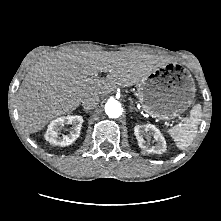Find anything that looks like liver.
Instances as JSON below:
<instances>
[{
	"label": "liver",
	"mask_w": 221,
	"mask_h": 221,
	"mask_svg": "<svg viewBox=\"0 0 221 221\" xmlns=\"http://www.w3.org/2000/svg\"><path fill=\"white\" fill-rule=\"evenodd\" d=\"M159 64L155 56L136 51L83 49L45 55L30 68L19 89L21 123L27 131L38 132L53 118L74 111L86 97L132 86ZM101 72L106 78H99Z\"/></svg>",
	"instance_id": "6515ba94"
}]
</instances>
